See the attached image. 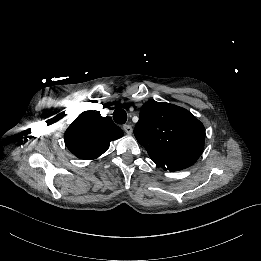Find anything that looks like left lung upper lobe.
<instances>
[{
    "instance_id": "5c2ea615",
    "label": "left lung upper lobe",
    "mask_w": 261,
    "mask_h": 261,
    "mask_svg": "<svg viewBox=\"0 0 261 261\" xmlns=\"http://www.w3.org/2000/svg\"><path fill=\"white\" fill-rule=\"evenodd\" d=\"M134 135L152 161L169 171L193 165L204 149L203 124L188 110L165 102L143 105Z\"/></svg>"
}]
</instances>
